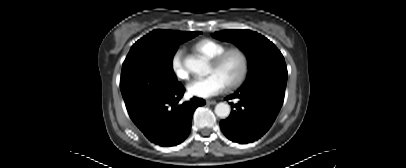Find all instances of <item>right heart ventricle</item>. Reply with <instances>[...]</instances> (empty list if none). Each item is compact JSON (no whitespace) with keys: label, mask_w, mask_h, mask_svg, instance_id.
Masks as SVG:
<instances>
[{"label":"right heart ventricle","mask_w":406,"mask_h":168,"mask_svg":"<svg viewBox=\"0 0 406 168\" xmlns=\"http://www.w3.org/2000/svg\"><path fill=\"white\" fill-rule=\"evenodd\" d=\"M194 49L207 59H212L224 51L226 46L212 39H202L194 45Z\"/></svg>","instance_id":"e07e8e85"}]
</instances>
